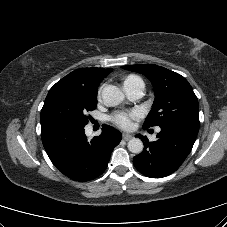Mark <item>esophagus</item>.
Returning a JSON list of instances; mask_svg holds the SVG:
<instances>
[{"mask_svg": "<svg viewBox=\"0 0 227 227\" xmlns=\"http://www.w3.org/2000/svg\"><path fill=\"white\" fill-rule=\"evenodd\" d=\"M122 137H123V139H124L125 141H128V140H130L131 138H133V135L124 133Z\"/></svg>", "mask_w": 227, "mask_h": 227, "instance_id": "esophagus-1", "label": "esophagus"}]
</instances>
